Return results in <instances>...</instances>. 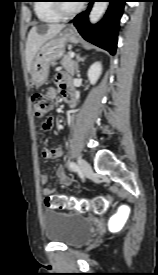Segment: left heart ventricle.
<instances>
[{"instance_id": "1", "label": "left heart ventricle", "mask_w": 158, "mask_h": 275, "mask_svg": "<svg viewBox=\"0 0 158 275\" xmlns=\"http://www.w3.org/2000/svg\"><path fill=\"white\" fill-rule=\"evenodd\" d=\"M65 8L68 10L74 9L75 7H77L79 4L77 3H64Z\"/></svg>"}]
</instances>
